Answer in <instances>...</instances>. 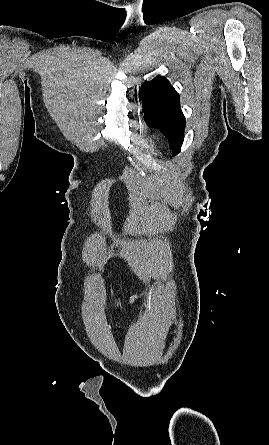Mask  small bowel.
Here are the masks:
<instances>
[{
  "instance_id": "small-bowel-1",
  "label": "small bowel",
  "mask_w": 269,
  "mask_h": 445,
  "mask_svg": "<svg viewBox=\"0 0 269 445\" xmlns=\"http://www.w3.org/2000/svg\"><path fill=\"white\" fill-rule=\"evenodd\" d=\"M142 296H143L142 293H135V294L131 295L129 298V304H133L136 300H138Z\"/></svg>"
}]
</instances>
